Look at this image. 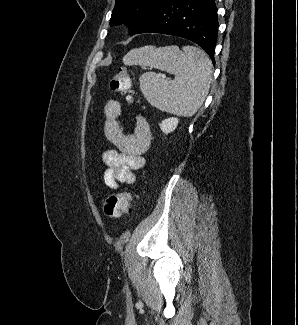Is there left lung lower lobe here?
Returning a JSON list of instances; mask_svg holds the SVG:
<instances>
[{
    "label": "left lung lower lobe",
    "mask_w": 298,
    "mask_h": 325,
    "mask_svg": "<svg viewBox=\"0 0 298 325\" xmlns=\"http://www.w3.org/2000/svg\"><path fill=\"white\" fill-rule=\"evenodd\" d=\"M218 25L215 0H166L133 33H161L186 38L202 47L215 63Z\"/></svg>",
    "instance_id": "left-lung-lower-lobe-1"
}]
</instances>
